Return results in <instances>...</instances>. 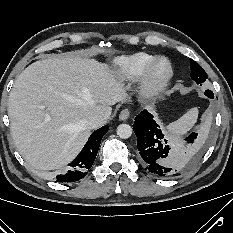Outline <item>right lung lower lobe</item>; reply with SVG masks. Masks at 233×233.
I'll return each instance as SVG.
<instances>
[{
  "label": "right lung lower lobe",
  "instance_id": "obj_1",
  "mask_svg": "<svg viewBox=\"0 0 233 233\" xmlns=\"http://www.w3.org/2000/svg\"><path fill=\"white\" fill-rule=\"evenodd\" d=\"M105 125L91 134L78 156L69 164L66 173L57 175L56 182H75L86 176L92 167L104 134L108 131Z\"/></svg>",
  "mask_w": 233,
  "mask_h": 233
}]
</instances>
